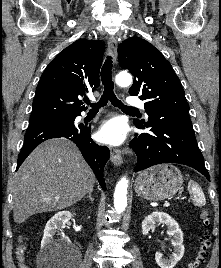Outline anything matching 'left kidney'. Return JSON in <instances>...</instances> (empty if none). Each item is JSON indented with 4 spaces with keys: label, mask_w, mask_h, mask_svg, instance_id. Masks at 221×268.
<instances>
[{
    "label": "left kidney",
    "mask_w": 221,
    "mask_h": 268,
    "mask_svg": "<svg viewBox=\"0 0 221 268\" xmlns=\"http://www.w3.org/2000/svg\"><path fill=\"white\" fill-rule=\"evenodd\" d=\"M157 223L167 226V233L172 237L171 242L174 246V251L169 259L163 258L162 253L156 252V263L160 268H173L184 255L183 232L179 228L178 223L170 215L164 212H153L145 217L142 222L143 235L148 234L151 229H154Z\"/></svg>",
    "instance_id": "5707ae66"
}]
</instances>
